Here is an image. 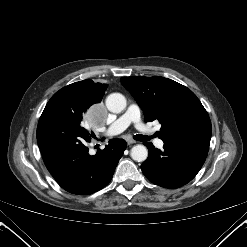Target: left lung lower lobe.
<instances>
[{
  "instance_id": "left-lung-lower-lobe-1",
  "label": "left lung lower lobe",
  "mask_w": 247,
  "mask_h": 247,
  "mask_svg": "<svg viewBox=\"0 0 247 247\" xmlns=\"http://www.w3.org/2000/svg\"><path fill=\"white\" fill-rule=\"evenodd\" d=\"M211 136L188 135L164 142V150L145 143L148 158L141 170L154 184L179 188L191 181L201 169L209 149Z\"/></svg>"
}]
</instances>
